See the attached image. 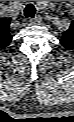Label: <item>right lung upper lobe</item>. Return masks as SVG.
Instances as JSON below:
<instances>
[{
	"mask_svg": "<svg viewBox=\"0 0 74 122\" xmlns=\"http://www.w3.org/2000/svg\"><path fill=\"white\" fill-rule=\"evenodd\" d=\"M10 22L8 20L0 21V49L9 45L11 42V34L9 32Z\"/></svg>",
	"mask_w": 74,
	"mask_h": 122,
	"instance_id": "1",
	"label": "right lung upper lobe"
}]
</instances>
